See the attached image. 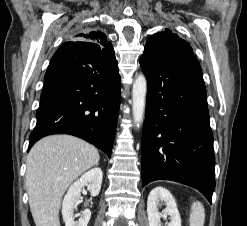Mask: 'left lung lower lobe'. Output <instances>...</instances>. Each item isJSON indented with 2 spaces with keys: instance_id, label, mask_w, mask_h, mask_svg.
<instances>
[{
  "instance_id": "left-lung-lower-lobe-1",
  "label": "left lung lower lobe",
  "mask_w": 247,
  "mask_h": 226,
  "mask_svg": "<svg viewBox=\"0 0 247 226\" xmlns=\"http://www.w3.org/2000/svg\"><path fill=\"white\" fill-rule=\"evenodd\" d=\"M140 65L147 79L143 187L154 180H171L199 190L211 203L215 156L198 60L144 52Z\"/></svg>"
}]
</instances>
